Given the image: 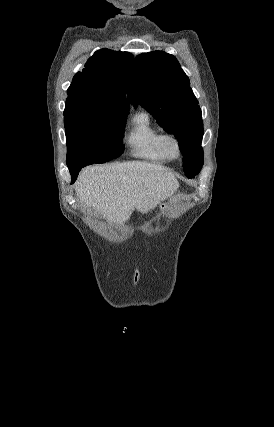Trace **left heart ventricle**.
<instances>
[{
	"instance_id": "obj_1",
	"label": "left heart ventricle",
	"mask_w": 274,
	"mask_h": 427,
	"mask_svg": "<svg viewBox=\"0 0 274 427\" xmlns=\"http://www.w3.org/2000/svg\"><path fill=\"white\" fill-rule=\"evenodd\" d=\"M169 150L172 154H174V155L177 154V150L172 143H169Z\"/></svg>"
}]
</instances>
